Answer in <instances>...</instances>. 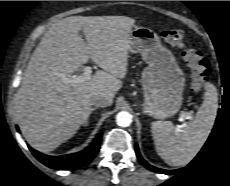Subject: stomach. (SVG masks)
<instances>
[{
	"label": "stomach",
	"instance_id": "stomach-1",
	"mask_svg": "<svg viewBox=\"0 0 230 186\" xmlns=\"http://www.w3.org/2000/svg\"><path fill=\"white\" fill-rule=\"evenodd\" d=\"M129 52L140 53L148 64L142 73L143 111L157 119L175 115L182 106L185 77L173 53L146 27L131 31Z\"/></svg>",
	"mask_w": 230,
	"mask_h": 186
}]
</instances>
